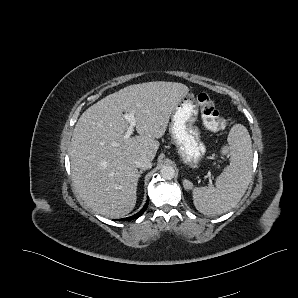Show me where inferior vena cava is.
I'll return each mask as SVG.
<instances>
[{"label": "inferior vena cava", "instance_id": "obj_1", "mask_svg": "<svg viewBox=\"0 0 298 298\" xmlns=\"http://www.w3.org/2000/svg\"><path fill=\"white\" fill-rule=\"evenodd\" d=\"M135 165L140 169L146 170L152 168V161L151 159L146 157H139L136 159Z\"/></svg>", "mask_w": 298, "mask_h": 298}]
</instances>
